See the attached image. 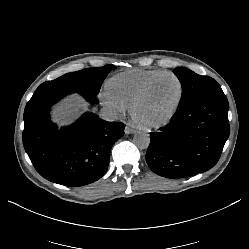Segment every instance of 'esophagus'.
<instances>
[{"mask_svg":"<svg viewBox=\"0 0 249 249\" xmlns=\"http://www.w3.org/2000/svg\"><path fill=\"white\" fill-rule=\"evenodd\" d=\"M134 132H135V129H133L132 127H130V126L125 127V133L126 134H132Z\"/></svg>","mask_w":249,"mask_h":249,"instance_id":"obj_1","label":"esophagus"}]
</instances>
